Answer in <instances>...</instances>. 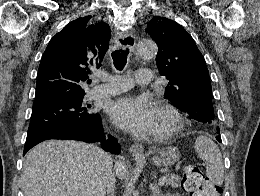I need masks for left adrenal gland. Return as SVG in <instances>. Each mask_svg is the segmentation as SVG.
Listing matches in <instances>:
<instances>
[{"instance_id": "a2214340", "label": "left adrenal gland", "mask_w": 260, "mask_h": 196, "mask_svg": "<svg viewBox=\"0 0 260 196\" xmlns=\"http://www.w3.org/2000/svg\"><path fill=\"white\" fill-rule=\"evenodd\" d=\"M151 192H152V196H163V192H161V190H159V186H157V184H151V186H149Z\"/></svg>"}]
</instances>
